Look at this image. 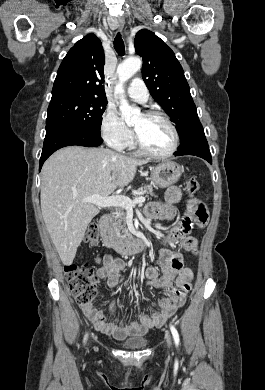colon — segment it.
<instances>
[{"label": "colon", "mask_w": 265, "mask_h": 390, "mask_svg": "<svg viewBox=\"0 0 265 390\" xmlns=\"http://www.w3.org/2000/svg\"><path fill=\"white\" fill-rule=\"evenodd\" d=\"M186 189L190 195H195L200 190V185L195 177L190 176L186 180ZM99 237V229L96 224L89 226L86 233V241L90 244H96ZM65 273L68 278L70 291L81 305H88L97 296L96 285L99 281L94 269L87 264H70L65 266Z\"/></svg>", "instance_id": "colon-1"}]
</instances>
